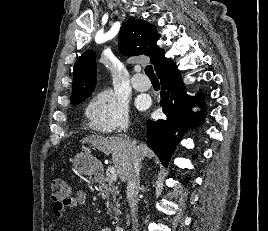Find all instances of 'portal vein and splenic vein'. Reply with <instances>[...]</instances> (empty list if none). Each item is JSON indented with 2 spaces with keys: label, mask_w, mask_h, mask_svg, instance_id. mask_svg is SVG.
Returning a JSON list of instances; mask_svg holds the SVG:
<instances>
[{
  "label": "portal vein and splenic vein",
  "mask_w": 268,
  "mask_h": 231,
  "mask_svg": "<svg viewBox=\"0 0 268 231\" xmlns=\"http://www.w3.org/2000/svg\"><path fill=\"white\" fill-rule=\"evenodd\" d=\"M106 176L110 182H115L117 180L116 169L114 166H108L106 169Z\"/></svg>",
  "instance_id": "1"
}]
</instances>
